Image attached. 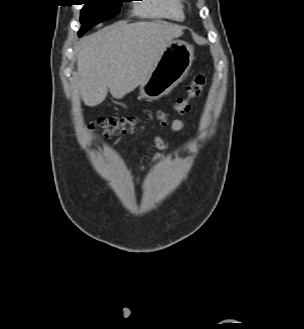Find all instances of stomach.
<instances>
[{"label":"stomach","mask_w":304,"mask_h":329,"mask_svg":"<svg viewBox=\"0 0 304 329\" xmlns=\"http://www.w3.org/2000/svg\"><path fill=\"white\" fill-rule=\"evenodd\" d=\"M193 60L192 45L182 40H170L149 78L140 84L141 96L156 100L169 93L185 77Z\"/></svg>","instance_id":"0dacf381"}]
</instances>
